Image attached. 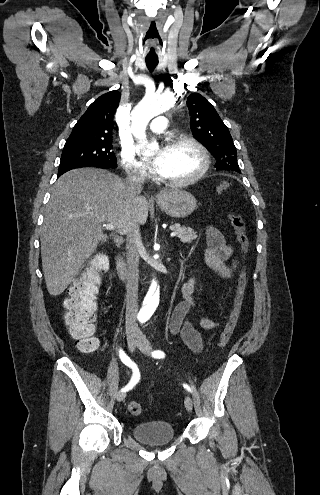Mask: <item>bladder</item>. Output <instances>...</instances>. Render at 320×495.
<instances>
[{
	"mask_svg": "<svg viewBox=\"0 0 320 495\" xmlns=\"http://www.w3.org/2000/svg\"><path fill=\"white\" fill-rule=\"evenodd\" d=\"M132 434L137 440L150 445L166 444L175 438L174 427L165 421L136 424L132 429Z\"/></svg>",
	"mask_w": 320,
	"mask_h": 495,
	"instance_id": "31cf9c89",
	"label": "bladder"
}]
</instances>
